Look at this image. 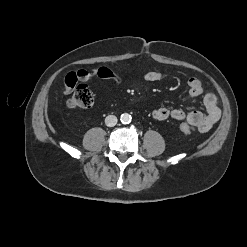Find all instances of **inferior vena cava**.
I'll return each mask as SVG.
<instances>
[{"label": "inferior vena cava", "instance_id": "obj_1", "mask_svg": "<svg viewBox=\"0 0 247 247\" xmlns=\"http://www.w3.org/2000/svg\"><path fill=\"white\" fill-rule=\"evenodd\" d=\"M117 117L114 116V115H108L106 118H105V124L108 126V127H113L117 124Z\"/></svg>", "mask_w": 247, "mask_h": 247}]
</instances>
